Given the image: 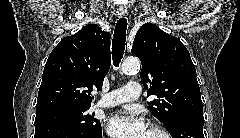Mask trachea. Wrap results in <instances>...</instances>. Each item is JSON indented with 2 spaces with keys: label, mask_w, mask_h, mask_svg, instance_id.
<instances>
[{
  "label": "trachea",
  "mask_w": 240,
  "mask_h": 138,
  "mask_svg": "<svg viewBox=\"0 0 240 138\" xmlns=\"http://www.w3.org/2000/svg\"><path fill=\"white\" fill-rule=\"evenodd\" d=\"M126 30L127 20L125 18H120L116 23L112 42V60L115 67L119 66V63L124 55Z\"/></svg>",
  "instance_id": "obj_1"
}]
</instances>
